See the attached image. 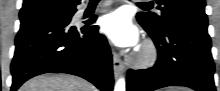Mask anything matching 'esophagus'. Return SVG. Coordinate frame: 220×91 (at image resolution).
<instances>
[{
	"label": "esophagus",
	"mask_w": 220,
	"mask_h": 91,
	"mask_svg": "<svg viewBox=\"0 0 220 91\" xmlns=\"http://www.w3.org/2000/svg\"><path fill=\"white\" fill-rule=\"evenodd\" d=\"M125 66L122 59L119 57L117 53L113 55V71L116 78H118L121 73L124 71Z\"/></svg>",
	"instance_id": "1"
}]
</instances>
